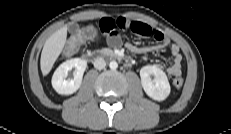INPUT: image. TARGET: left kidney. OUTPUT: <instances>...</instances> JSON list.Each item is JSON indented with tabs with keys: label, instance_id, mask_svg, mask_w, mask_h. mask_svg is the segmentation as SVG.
<instances>
[{
	"label": "left kidney",
	"instance_id": "5707ae66",
	"mask_svg": "<svg viewBox=\"0 0 231 134\" xmlns=\"http://www.w3.org/2000/svg\"><path fill=\"white\" fill-rule=\"evenodd\" d=\"M140 77L145 93L153 100L163 101L169 96L171 89L167 75L156 65L142 67Z\"/></svg>",
	"mask_w": 231,
	"mask_h": 134
}]
</instances>
